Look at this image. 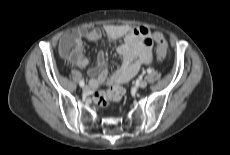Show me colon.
Returning <instances> with one entry per match:
<instances>
[{
	"label": "colon",
	"instance_id": "1",
	"mask_svg": "<svg viewBox=\"0 0 230 155\" xmlns=\"http://www.w3.org/2000/svg\"><path fill=\"white\" fill-rule=\"evenodd\" d=\"M78 37L69 33L65 36L62 43V53L71 58L73 55L77 53L78 48ZM156 43H157V56L159 61H164L167 58L168 50H167V42L164 35L160 32L156 34ZM124 91L119 86H114L110 90L107 91H97L94 94L93 100L94 103L100 108H106L113 103H116L121 100L123 97Z\"/></svg>",
	"mask_w": 230,
	"mask_h": 155
}]
</instances>
